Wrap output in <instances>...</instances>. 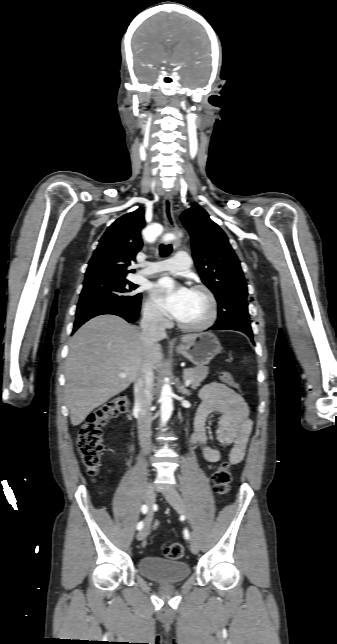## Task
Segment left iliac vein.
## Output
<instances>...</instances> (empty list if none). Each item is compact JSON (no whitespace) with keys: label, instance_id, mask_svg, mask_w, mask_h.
Segmentation results:
<instances>
[{"label":"left iliac vein","instance_id":"left-iliac-vein-1","mask_svg":"<svg viewBox=\"0 0 337 644\" xmlns=\"http://www.w3.org/2000/svg\"><path fill=\"white\" fill-rule=\"evenodd\" d=\"M168 503L179 513L187 515V508L185 502L181 495L176 490H170L165 495ZM190 550L192 553L197 554L199 552V542L194 534L191 536L190 540Z\"/></svg>","mask_w":337,"mask_h":644}]
</instances>
